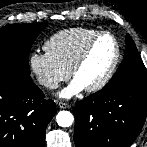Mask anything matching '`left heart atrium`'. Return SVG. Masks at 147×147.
<instances>
[{
	"mask_svg": "<svg viewBox=\"0 0 147 147\" xmlns=\"http://www.w3.org/2000/svg\"><path fill=\"white\" fill-rule=\"evenodd\" d=\"M84 85L77 79H73L71 83L60 92V97L69 99L84 90Z\"/></svg>",
	"mask_w": 147,
	"mask_h": 147,
	"instance_id": "1",
	"label": "left heart atrium"
}]
</instances>
